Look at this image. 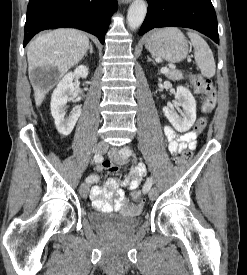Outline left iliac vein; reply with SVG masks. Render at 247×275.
Masks as SVG:
<instances>
[{
    "instance_id": "4c4485c4",
    "label": "left iliac vein",
    "mask_w": 247,
    "mask_h": 275,
    "mask_svg": "<svg viewBox=\"0 0 247 275\" xmlns=\"http://www.w3.org/2000/svg\"><path fill=\"white\" fill-rule=\"evenodd\" d=\"M126 149H129L127 147H123L121 150H126ZM121 150H118L117 148H111L108 152V155L109 157L117 164H125L126 163V160L122 157L121 155ZM143 192L144 193H147L144 191L143 189ZM157 196V190L156 188H153L150 192H149V198L151 200L155 199Z\"/></svg>"
}]
</instances>
